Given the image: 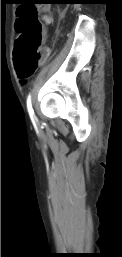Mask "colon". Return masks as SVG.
Wrapping results in <instances>:
<instances>
[{"label": "colon", "instance_id": "1", "mask_svg": "<svg viewBox=\"0 0 122 257\" xmlns=\"http://www.w3.org/2000/svg\"><path fill=\"white\" fill-rule=\"evenodd\" d=\"M38 9V5H18L14 61L20 77L31 75L43 58V29L35 11Z\"/></svg>", "mask_w": 122, "mask_h": 257}]
</instances>
